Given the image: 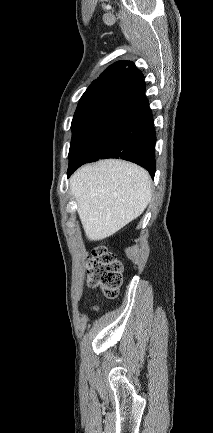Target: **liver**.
<instances>
[{
  "label": "liver",
  "instance_id": "obj_1",
  "mask_svg": "<svg viewBox=\"0 0 213 433\" xmlns=\"http://www.w3.org/2000/svg\"><path fill=\"white\" fill-rule=\"evenodd\" d=\"M152 181L142 167L115 159L79 168L70 191L90 241L105 239L139 217L152 197Z\"/></svg>",
  "mask_w": 213,
  "mask_h": 433
}]
</instances>
